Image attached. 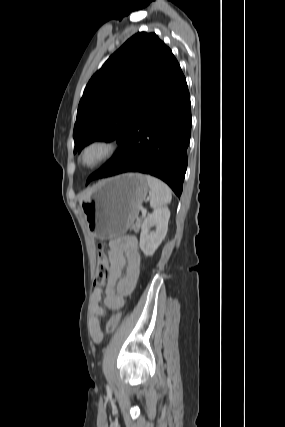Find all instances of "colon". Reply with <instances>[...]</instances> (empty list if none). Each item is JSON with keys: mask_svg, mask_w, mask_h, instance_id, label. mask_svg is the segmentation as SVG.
Segmentation results:
<instances>
[{"mask_svg": "<svg viewBox=\"0 0 285 427\" xmlns=\"http://www.w3.org/2000/svg\"><path fill=\"white\" fill-rule=\"evenodd\" d=\"M98 250H99V253H98V262L96 266V273L94 277V286L97 288H100L106 283L108 279L109 265L106 257L105 245L103 243L98 244ZM120 318H121L120 313H116L111 317V319L108 321L106 325L107 332L111 333L116 329L120 321Z\"/></svg>", "mask_w": 285, "mask_h": 427, "instance_id": "5ec220e1", "label": "colon"}]
</instances>
